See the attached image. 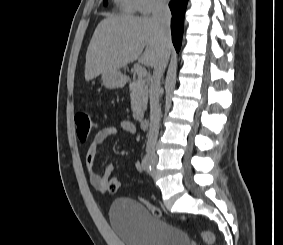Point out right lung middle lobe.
<instances>
[{"mask_svg": "<svg viewBox=\"0 0 283 245\" xmlns=\"http://www.w3.org/2000/svg\"><path fill=\"white\" fill-rule=\"evenodd\" d=\"M103 4H104V5H107V0H103Z\"/></svg>", "mask_w": 283, "mask_h": 245, "instance_id": "obj_1", "label": "right lung middle lobe"}]
</instances>
